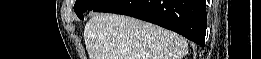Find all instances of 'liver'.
Masks as SVG:
<instances>
[{"label": "liver", "instance_id": "obj_1", "mask_svg": "<svg viewBox=\"0 0 261 59\" xmlns=\"http://www.w3.org/2000/svg\"><path fill=\"white\" fill-rule=\"evenodd\" d=\"M89 59H182L186 40L169 30L117 14L96 13L86 23Z\"/></svg>", "mask_w": 261, "mask_h": 59}]
</instances>
